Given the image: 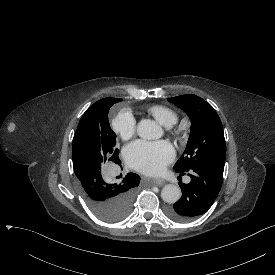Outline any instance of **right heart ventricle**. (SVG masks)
<instances>
[{"label":"right heart ventricle","mask_w":275,"mask_h":275,"mask_svg":"<svg viewBox=\"0 0 275 275\" xmlns=\"http://www.w3.org/2000/svg\"><path fill=\"white\" fill-rule=\"evenodd\" d=\"M149 113L157 120L161 125L169 128L177 122L176 113L163 105H154L149 108Z\"/></svg>","instance_id":"e07e8e85"}]
</instances>
